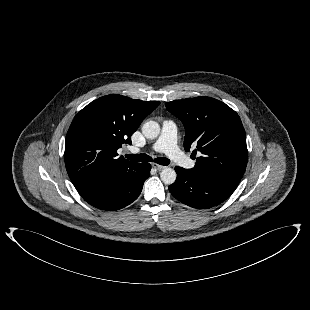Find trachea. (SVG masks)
Listing matches in <instances>:
<instances>
[{
	"instance_id": "trachea-1",
	"label": "trachea",
	"mask_w": 310,
	"mask_h": 310,
	"mask_svg": "<svg viewBox=\"0 0 310 310\" xmlns=\"http://www.w3.org/2000/svg\"><path fill=\"white\" fill-rule=\"evenodd\" d=\"M125 157L131 161L136 162H151L153 159L147 154H126ZM157 164L167 166L170 164V160L165 157H158L154 159Z\"/></svg>"
}]
</instances>
